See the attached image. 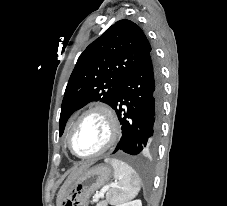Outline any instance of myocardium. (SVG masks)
Masks as SVG:
<instances>
[{
    "label": "myocardium",
    "instance_id": "obj_1",
    "mask_svg": "<svg viewBox=\"0 0 227 206\" xmlns=\"http://www.w3.org/2000/svg\"><path fill=\"white\" fill-rule=\"evenodd\" d=\"M93 113H99L101 114L107 121L108 127H109V136L106 141V143L97 151L87 154V155H78L76 154L71 146V138L73 135L74 130L78 126V124L88 115L93 114ZM120 137V123L118 120V117L115 113V111L110 107L108 104L105 103H97L94 105H91L87 109H85L74 121L72 124L71 128L68 131L67 134V139H66V144H67V149L68 151L75 157L81 158V159H88V158H93L96 156H99L106 151H108L111 147H113L116 142L118 141Z\"/></svg>",
    "mask_w": 227,
    "mask_h": 206
}]
</instances>
